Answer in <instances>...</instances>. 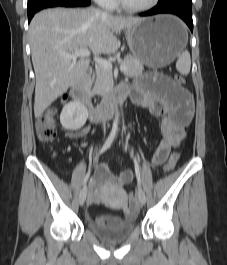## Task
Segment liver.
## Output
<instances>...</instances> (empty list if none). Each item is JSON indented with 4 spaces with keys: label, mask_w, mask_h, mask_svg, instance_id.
I'll return each mask as SVG.
<instances>
[{
    "label": "liver",
    "mask_w": 227,
    "mask_h": 265,
    "mask_svg": "<svg viewBox=\"0 0 227 265\" xmlns=\"http://www.w3.org/2000/svg\"><path fill=\"white\" fill-rule=\"evenodd\" d=\"M143 19L106 14L98 9H47L29 27L36 75L34 114L39 117L69 87L86 74L90 60L64 59L62 54L89 48L94 55L115 53L117 34Z\"/></svg>",
    "instance_id": "6515ba94"
}]
</instances>
